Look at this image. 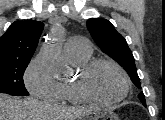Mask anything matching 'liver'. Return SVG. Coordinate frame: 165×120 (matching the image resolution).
Here are the masks:
<instances>
[{"label": "liver", "instance_id": "6515ba94", "mask_svg": "<svg viewBox=\"0 0 165 120\" xmlns=\"http://www.w3.org/2000/svg\"><path fill=\"white\" fill-rule=\"evenodd\" d=\"M92 108H65L34 98L17 99L0 93V120H76Z\"/></svg>", "mask_w": 165, "mask_h": 120}]
</instances>
